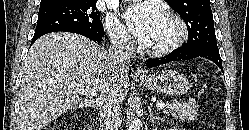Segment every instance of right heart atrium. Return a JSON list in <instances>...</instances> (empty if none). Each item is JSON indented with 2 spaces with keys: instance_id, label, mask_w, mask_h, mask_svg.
Returning <instances> with one entry per match:
<instances>
[{
  "instance_id": "1",
  "label": "right heart atrium",
  "mask_w": 249,
  "mask_h": 130,
  "mask_svg": "<svg viewBox=\"0 0 249 130\" xmlns=\"http://www.w3.org/2000/svg\"><path fill=\"white\" fill-rule=\"evenodd\" d=\"M105 30L112 43L122 49L130 50L134 46V39L126 28L116 18L107 17L104 23Z\"/></svg>"
}]
</instances>
